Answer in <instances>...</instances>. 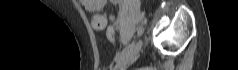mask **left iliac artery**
Listing matches in <instances>:
<instances>
[{"label":"left iliac artery","mask_w":238,"mask_h":70,"mask_svg":"<svg viewBox=\"0 0 238 70\" xmlns=\"http://www.w3.org/2000/svg\"><path fill=\"white\" fill-rule=\"evenodd\" d=\"M142 28H138V35H141L142 34ZM136 41L138 40L137 38L135 39ZM136 45V42L135 41H132L131 43H129V45H127L126 48H123L121 52H119L115 58H114V61L117 62L119 61L121 58H123L130 50H133L134 49V46Z\"/></svg>","instance_id":"left-iliac-artery-1"}]
</instances>
